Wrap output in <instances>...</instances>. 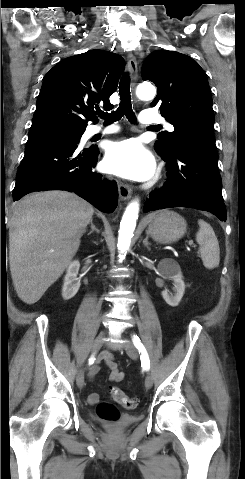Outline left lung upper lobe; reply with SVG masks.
<instances>
[{
  "mask_svg": "<svg viewBox=\"0 0 245 479\" xmlns=\"http://www.w3.org/2000/svg\"><path fill=\"white\" fill-rule=\"evenodd\" d=\"M142 78L155 83L158 94L151 106L175 130L158 134L155 150L162 157L189 142H214L212 97L203 69L191 57L168 50L152 52L143 63Z\"/></svg>",
  "mask_w": 245,
  "mask_h": 479,
  "instance_id": "obj_1",
  "label": "left lung upper lobe"
}]
</instances>
